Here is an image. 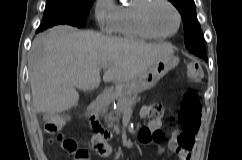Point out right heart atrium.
Wrapping results in <instances>:
<instances>
[{"instance_id": "right-heart-atrium-1", "label": "right heart atrium", "mask_w": 242, "mask_h": 160, "mask_svg": "<svg viewBox=\"0 0 242 160\" xmlns=\"http://www.w3.org/2000/svg\"><path fill=\"white\" fill-rule=\"evenodd\" d=\"M116 13L117 6L113 0H95V20L103 31L113 32Z\"/></svg>"}]
</instances>
